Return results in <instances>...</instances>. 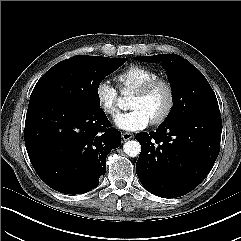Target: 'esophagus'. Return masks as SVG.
Segmentation results:
<instances>
[{"label": "esophagus", "mask_w": 241, "mask_h": 241, "mask_svg": "<svg viewBox=\"0 0 241 241\" xmlns=\"http://www.w3.org/2000/svg\"><path fill=\"white\" fill-rule=\"evenodd\" d=\"M131 138H133V134L129 133V132H123L122 133V139L124 141L130 140Z\"/></svg>", "instance_id": "esophagus-1"}]
</instances>
